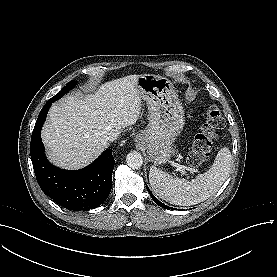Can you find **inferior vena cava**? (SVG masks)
I'll return each instance as SVG.
<instances>
[{"instance_id":"inferior-vena-cava-1","label":"inferior vena cava","mask_w":277,"mask_h":277,"mask_svg":"<svg viewBox=\"0 0 277 277\" xmlns=\"http://www.w3.org/2000/svg\"><path fill=\"white\" fill-rule=\"evenodd\" d=\"M118 138V134L117 133H110L107 137H106V141L108 142H113L114 140H116Z\"/></svg>"}]
</instances>
